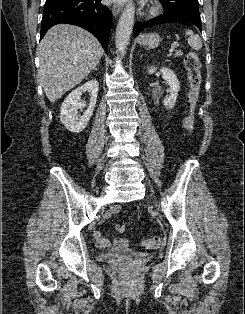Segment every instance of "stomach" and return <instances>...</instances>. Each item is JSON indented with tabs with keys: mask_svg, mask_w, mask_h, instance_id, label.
Listing matches in <instances>:
<instances>
[{
	"mask_svg": "<svg viewBox=\"0 0 245 314\" xmlns=\"http://www.w3.org/2000/svg\"><path fill=\"white\" fill-rule=\"evenodd\" d=\"M138 42L140 45L155 48L160 44L161 38L155 33H148L141 35L138 39Z\"/></svg>",
	"mask_w": 245,
	"mask_h": 314,
	"instance_id": "0dacf381",
	"label": "stomach"
}]
</instances>
